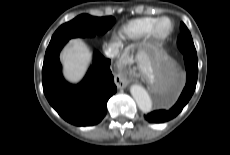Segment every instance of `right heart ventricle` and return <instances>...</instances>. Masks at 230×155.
Returning <instances> with one entry per match:
<instances>
[{"mask_svg": "<svg viewBox=\"0 0 230 155\" xmlns=\"http://www.w3.org/2000/svg\"><path fill=\"white\" fill-rule=\"evenodd\" d=\"M157 19V17L150 16L133 19L121 27L119 36L132 40L143 38L151 33Z\"/></svg>", "mask_w": 230, "mask_h": 155, "instance_id": "e07e8e85", "label": "right heart ventricle"}]
</instances>
